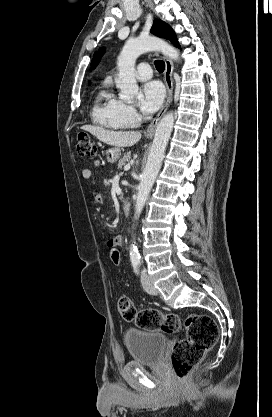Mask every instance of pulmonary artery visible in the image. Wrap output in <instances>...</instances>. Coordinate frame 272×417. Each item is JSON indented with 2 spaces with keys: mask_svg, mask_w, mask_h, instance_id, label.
<instances>
[{
  "mask_svg": "<svg viewBox=\"0 0 272 417\" xmlns=\"http://www.w3.org/2000/svg\"><path fill=\"white\" fill-rule=\"evenodd\" d=\"M135 75L138 80H148L152 77V69L149 64L141 63L137 66Z\"/></svg>",
  "mask_w": 272,
  "mask_h": 417,
  "instance_id": "1",
  "label": "pulmonary artery"
}]
</instances>
